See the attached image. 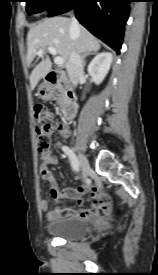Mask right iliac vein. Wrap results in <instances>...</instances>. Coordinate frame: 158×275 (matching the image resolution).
<instances>
[{"label":"right iliac vein","mask_w":158,"mask_h":275,"mask_svg":"<svg viewBox=\"0 0 158 275\" xmlns=\"http://www.w3.org/2000/svg\"><path fill=\"white\" fill-rule=\"evenodd\" d=\"M78 159H79V164H80V167H81V170H82V173L85 177L88 176L91 168H90V165H89V162L88 160L85 158V156H83L82 154H79L78 155Z\"/></svg>","instance_id":"63e3f726"}]
</instances>
